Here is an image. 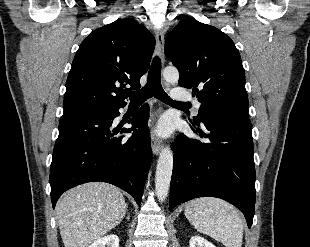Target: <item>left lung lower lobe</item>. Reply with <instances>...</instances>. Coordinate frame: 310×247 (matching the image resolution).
Listing matches in <instances>:
<instances>
[{"instance_id": "1", "label": "left lung lower lobe", "mask_w": 310, "mask_h": 247, "mask_svg": "<svg viewBox=\"0 0 310 247\" xmlns=\"http://www.w3.org/2000/svg\"><path fill=\"white\" fill-rule=\"evenodd\" d=\"M200 137L178 135L174 146L169 210L204 196L224 199L239 208L251 227L255 209L252 126L248 118L218 116L203 122Z\"/></svg>"}]
</instances>
